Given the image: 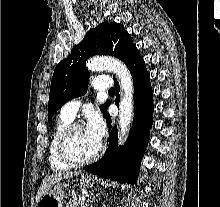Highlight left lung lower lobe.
<instances>
[{
  "mask_svg": "<svg viewBox=\"0 0 220 207\" xmlns=\"http://www.w3.org/2000/svg\"><path fill=\"white\" fill-rule=\"evenodd\" d=\"M134 82V121L127 142L118 147L117 127L110 133V144L104 157L85 168L88 172L105 179H113L131 184L137 183V175L141 159L149 142L150 128L153 123V91L150 85V76L138 49L134 47L125 62ZM116 82V81H115ZM117 102L119 101V86L116 82ZM109 129L111 118L104 114Z\"/></svg>",
  "mask_w": 220,
  "mask_h": 207,
  "instance_id": "left-lung-lower-lobe-1",
  "label": "left lung lower lobe"
}]
</instances>
